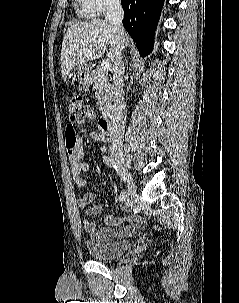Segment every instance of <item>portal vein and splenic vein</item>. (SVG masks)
<instances>
[{"label":"portal vein and splenic vein","mask_w":239,"mask_h":303,"mask_svg":"<svg viewBox=\"0 0 239 303\" xmlns=\"http://www.w3.org/2000/svg\"><path fill=\"white\" fill-rule=\"evenodd\" d=\"M111 67V62L109 59H106L104 61H102L101 63V70L103 71H108Z\"/></svg>","instance_id":"1"}]
</instances>
